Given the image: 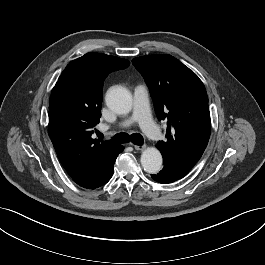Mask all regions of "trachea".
<instances>
[{
  "mask_svg": "<svg viewBox=\"0 0 265 265\" xmlns=\"http://www.w3.org/2000/svg\"><path fill=\"white\" fill-rule=\"evenodd\" d=\"M99 137H103V135L99 133ZM113 140L118 143H127L131 141L132 143L136 145H142L144 142V139L141 134L135 133L130 136L127 133H123V132L113 136Z\"/></svg>",
  "mask_w": 265,
  "mask_h": 265,
  "instance_id": "trachea-1",
  "label": "trachea"
}]
</instances>
